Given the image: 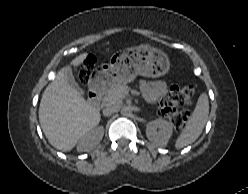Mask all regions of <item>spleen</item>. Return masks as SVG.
<instances>
[{
    "instance_id": "3e777b00",
    "label": "spleen",
    "mask_w": 248,
    "mask_h": 194,
    "mask_svg": "<svg viewBox=\"0 0 248 194\" xmlns=\"http://www.w3.org/2000/svg\"><path fill=\"white\" fill-rule=\"evenodd\" d=\"M208 114V96L206 93H202L198 98L196 107L187 121L185 128L176 140V149H181L198 139L207 122Z\"/></svg>"
}]
</instances>
